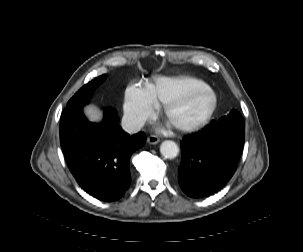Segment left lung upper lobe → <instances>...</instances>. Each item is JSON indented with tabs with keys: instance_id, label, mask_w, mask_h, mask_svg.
Wrapping results in <instances>:
<instances>
[{
	"instance_id": "obj_1",
	"label": "left lung upper lobe",
	"mask_w": 303,
	"mask_h": 252,
	"mask_svg": "<svg viewBox=\"0 0 303 252\" xmlns=\"http://www.w3.org/2000/svg\"><path fill=\"white\" fill-rule=\"evenodd\" d=\"M224 128L245 129L242 115L238 111L232 110L227 116L222 117L219 121H211V123L204 130Z\"/></svg>"
}]
</instances>
